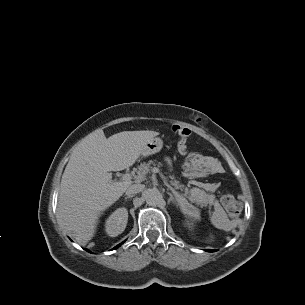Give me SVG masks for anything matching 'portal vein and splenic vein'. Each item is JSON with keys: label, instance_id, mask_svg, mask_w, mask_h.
Listing matches in <instances>:
<instances>
[{"label": "portal vein and splenic vein", "instance_id": "portal-vein-and-splenic-vein-1", "mask_svg": "<svg viewBox=\"0 0 305 305\" xmlns=\"http://www.w3.org/2000/svg\"><path fill=\"white\" fill-rule=\"evenodd\" d=\"M152 172H153V173H159L160 176H161V178L164 180V183L167 184L166 177H165L162 173H160V170H159L158 168H156V167L153 168V169H152ZM132 178H133L132 175L129 174V173H126V174H124V175L122 176V180H124V181H130ZM135 178H136L138 181H142V180H144L145 176H144L143 174H140V175H138V176H135ZM168 186H169V185H168ZM169 187H170V186H169ZM170 188L172 189V187H170ZM174 192H175V191H174ZM180 200H181L182 202H184L185 204H188V201H187L184 197L180 196Z\"/></svg>", "mask_w": 305, "mask_h": 305}]
</instances>
